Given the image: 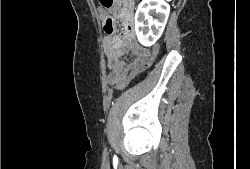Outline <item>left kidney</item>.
I'll use <instances>...</instances> for the list:
<instances>
[{
    "instance_id": "5707ae66",
    "label": "left kidney",
    "mask_w": 250,
    "mask_h": 169,
    "mask_svg": "<svg viewBox=\"0 0 250 169\" xmlns=\"http://www.w3.org/2000/svg\"><path fill=\"white\" fill-rule=\"evenodd\" d=\"M152 10H155L157 18L151 16ZM170 4L165 0H141L135 12V32L137 38L144 46H151L160 38L168 20ZM155 30H152V26ZM144 26H148V32H145Z\"/></svg>"
}]
</instances>
